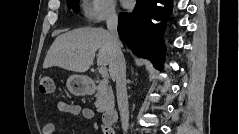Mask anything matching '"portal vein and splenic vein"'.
Returning a JSON list of instances; mask_svg holds the SVG:
<instances>
[{
  "label": "portal vein and splenic vein",
  "instance_id": "18ae733b",
  "mask_svg": "<svg viewBox=\"0 0 239 134\" xmlns=\"http://www.w3.org/2000/svg\"><path fill=\"white\" fill-rule=\"evenodd\" d=\"M99 73L103 76V77H106L108 75V70L105 66H101L99 68Z\"/></svg>",
  "mask_w": 239,
  "mask_h": 134
}]
</instances>
